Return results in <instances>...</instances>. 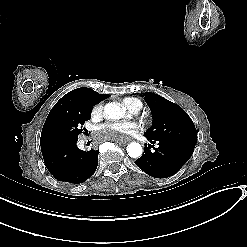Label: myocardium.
<instances>
[{"label":"myocardium","instance_id":"myocardium-1","mask_svg":"<svg viewBox=\"0 0 247 247\" xmlns=\"http://www.w3.org/2000/svg\"><path fill=\"white\" fill-rule=\"evenodd\" d=\"M142 123H143V124H145V123H146V121H145V120H143V121H142Z\"/></svg>","mask_w":247,"mask_h":247}]
</instances>
